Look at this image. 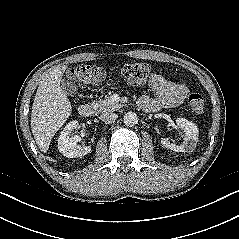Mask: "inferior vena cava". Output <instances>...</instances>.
<instances>
[{
    "label": "inferior vena cava",
    "mask_w": 239,
    "mask_h": 239,
    "mask_svg": "<svg viewBox=\"0 0 239 239\" xmlns=\"http://www.w3.org/2000/svg\"><path fill=\"white\" fill-rule=\"evenodd\" d=\"M118 115L113 113V112H103L101 115H100V119L105 122V123H114L115 120L117 119Z\"/></svg>",
    "instance_id": "1"
}]
</instances>
